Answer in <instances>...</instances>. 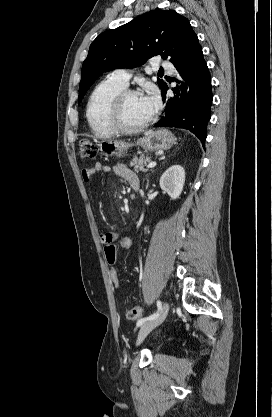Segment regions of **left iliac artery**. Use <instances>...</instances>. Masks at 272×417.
Returning a JSON list of instances; mask_svg holds the SVG:
<instances>
[{
    "label": "left iliac artery",
    "instance_id": "44dca946",
    "mask_svg": "<svg viewBox=\"0 0 272 417\" xmlns=\"http://www.w3.org/2000/svg\"><path fill=\"white\" fill-rule=\"evenodd\" d=\"M157 308H158V309H157V312H156V313L151 314V315H149L148 317H144V318L139 319V320L137 321L136 326H137V327H139V326H141L144 322L149 321V320H151V319H154L155 317H157V316H158L159 312H160V311H161V309H162V303H161V301H160V300H157Z\"/></svg>",
    "mask_w": 272,
    "mask_h": 417
}]
</instances>
